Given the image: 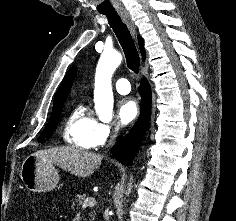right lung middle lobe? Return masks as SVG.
Returning a JSON list of instances; mask_svg holds the SVG:
<instances>
[{
  "instance_id": "1",
  "label": "right lung middle lobe",
  "mask_w": 236,
  "mask_h": 221,
  "mask_svg": "<svg viewBox=\"0 0 236 221\" xmlns=\"http://www.w3.org/2000/svg\"><path fill=\"white\" fill-rule=\"evenodd\" d=\"M62 109H63V103L53 106L51 118H50L48 124L46 125L44 131L42 132V134L39 138V142H42L43 139H45V138H50L51 135L54 133V131L57 128V124L59 122V117L61 115Z\"/></svg>"
}]
</instances>
